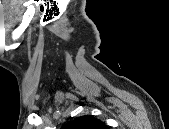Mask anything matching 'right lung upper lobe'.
<instances>
[{
	"label": "right lung upper lobe",
	"instance_id": "1",
	"mask_svg": "<svg viewBox=\"0 0 169 129\" xmlns=\"http://www.w3.org/2000/svg\"><path fill=\"white\" fill-rule=\"evenodd\" d=\"M64 129H106L107 126L92 116H81L63 126Z\"/></svg>",
	"mask_w": 169,
	"mask_h": 129
}]
</instances>
